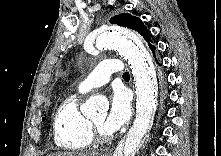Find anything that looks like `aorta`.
<instances>
[{"instance_id": "762f6f07", "label": "aorta", "mask_w": 221, "mask_h": 156, "mask_svg": "<svg viewBox=\"0 0 221 156\" xmlns=\"http://www.w3.org/2000/svg\"><path fill=\"white\" fill-rule=\"evenodd\" d=\"M99 49H115L130 64L136 87V117L120 151L114 156H133L152 125L156 110L157 78L150 54L141 40L131 31L120 27H108L95 38ZM108 101L103 97L91 96L81 107L86 117H93L98 111H106Z\"/></svg>"}]
</instances>
